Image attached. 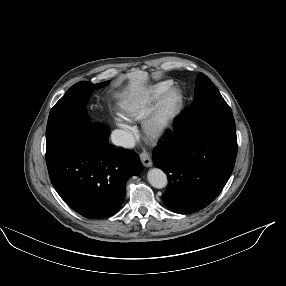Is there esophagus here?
Masks as SVG:
<instances>
[{"instance_id":"1","label":"esophagus","mask_w":286,"mask_h":286,"mask_svg":"<svg viewBox=\"0 0 286 286\" xmlns=\"http://www.w3.org/2000/svg\"><path fill=\"white\" fill-rule=\"evenodd\" d=\"M140 160L145 167H151L153 165L152 158L147 152L140 154Z\"/></svg>"}]
</instances>
